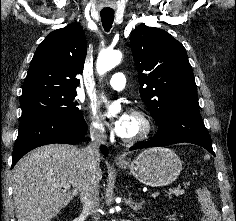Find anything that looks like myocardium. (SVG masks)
I'll return each mask as SVG.
<instances>
[{"mask_svg": "<svg viewBox=\"0 0 236 221\" xmlns=\"http://www.w3.org/2000/svg\"><path fill=\"white\" fill-rule=\"evenodd\" d=\"M131 115L136 116L141 121V131L137 135L132 137H122V140L127 144H136L139 142H143L151 136L154 130L153 120L149 114L139 109L132 110Z\"/></svg>", "mask_w": 236, "mask_h": 221, "instance_id": "obj_1", "label": "myocardium"}]
</instances>
